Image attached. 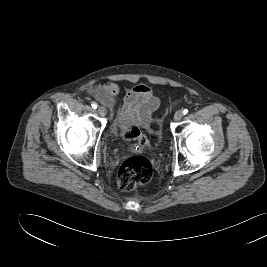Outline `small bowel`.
I'll list each match as a JSON object with an SVG mask.
<instances>
[{
	"mask_svg": "<svg viewBox=\"0 0 267 267\" xmlns=\"http://www.w3.org/2000/svg\"><path fill=\"white\" fill-rule=\"evenodd\" d=\"M92 93L100 101L113 106L120 93V87L115 82H108L101 87L94 88ZM159 106L160 99L154 95L151 88L146 84L138 83L125 92L119 110L118 123L121 127L129 125L147 127L151 122L152 113Z\"/></svg>",
	"mask_w": 267,
	"mask_h": 267,
	"instance_id": "c3829d8e",
	"label": "small bowel"
}]
</instances>
